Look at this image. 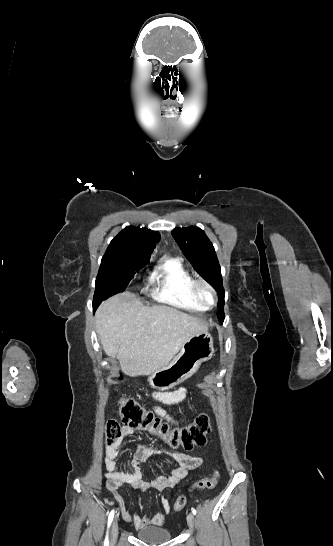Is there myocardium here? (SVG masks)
<instances>
[{
  "instance_id": "obj_1",
  "label": "myocardium",
  "mask_w": 333,
  "mask_h": 546,
  "mask_svg": "<svg viewBox=\"0 0 333 546\" xmlns=\"http://www.w3.org/2000/svg\"><path fill=\"white\" fill-rule=\"evenodd\" d=\"M201 287H204L211 292L212 300L210 302L206 301L201 296L199 291ZM190 291L192 293V296L195 298V300L206 308L214 307L217 303L218 298H217V292L215 288L207 280L203 278H194L190 284Z\"/></svg>"
}]
</instances>
